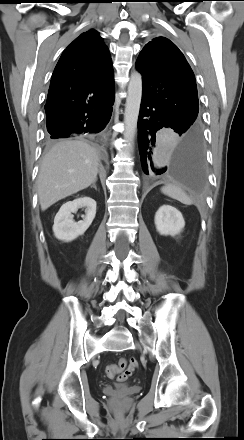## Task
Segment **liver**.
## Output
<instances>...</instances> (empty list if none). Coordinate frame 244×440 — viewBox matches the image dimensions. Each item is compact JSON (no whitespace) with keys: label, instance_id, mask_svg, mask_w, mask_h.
Returning <instances> with one entry per match:
<instances>
[{"label":"liver","instance_id":"obj_1","mask_svg":"<svg viewBox=\"0 0 244 440\" xmlns=\"http://www.w3.org/2000/svg\"><path fill=\"white\" fill-rule=\"evenodd\" d=\"M99 151L83 140L58 141L44 156L37 178L41 210L97 180Z\"/></svg>","mask_w":244,"mask_h":440}]
</instances>
